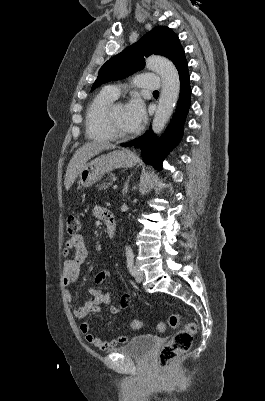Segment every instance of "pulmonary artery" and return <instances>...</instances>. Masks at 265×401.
I'll return each mask as SVG.
<instances>
[{
  "instance_id": "e3ab8cb5",
  "label": "pulmonary artery",
  "mask_w": 265,
  "mask_h": 401,
  "mask_svg": "<svg viewBox=\"0 0 265 401\" xmlns=\"http://www.w3.org/2000/svg\"><path fill=\"white\" fill-rule=\"evenodd\" d=\"M140 79L144 83L145 90H158L162 83L161 75H151L150 72H142L140 74ZM108 91L114 97H118L119 95V89L117 87H110L108 88Z\"/></svg>"
}]
</instances>
